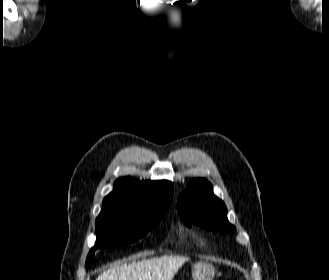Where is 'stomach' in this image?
I'll return each mask as SVG.
<instances>
[{"label": "stomach", "instance_id": "0dacf381", "mask_svg": "<svg viewBox=\"0 0 329 280\" xmlns=\"http://www.w3.org/2000/svg\"><path fill=\"white\" fill-rule=\"evenodd\" d=\"M214 275V266L206 261H198L192 266L194 280H213Z\"/></svg>", "mask_w": 329, "mask_h": 280}]
</instances>
